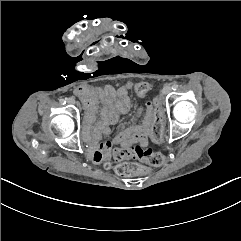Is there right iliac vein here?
<instances>
[{
    "label": "right iliac vein",
    "mask_w": 241,
    "mask_h": 241,
    "mask_svg": "<svg viewBox=\"0 0 241 241\" xmlns=\"http://www.w3.org/2000/svg\"><path fill=\"white\" fill-rule=\"evenodd\" d=\"M68 102H69V103H74L75 101H74L72 98H69V99H68Z\"/></svg>",
    "instance_id": "63e3f726"
}]
</instances>
